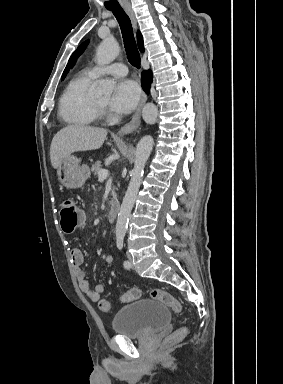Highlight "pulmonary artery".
Returning a JSON list of instances; mask_svg holds the SVG:
<instances>
[{"instance_id":"1","label":"pulmonary artery","mask_w":283,"mask_h":384,"mask_svg":"<svg viewBox=\"0 0 283 384\" xmlns=\"http://www.w3.org/2000/svg\"><path fill=\"white\" fill-rule=\"evenodd\" d=\"M128 72V69L125 65L121 63H110V64H100L95 65L94 67L88 70V74L93 79H98L104 75H113L117 77L125 76Z\"/></svg>"}]
</instances>
